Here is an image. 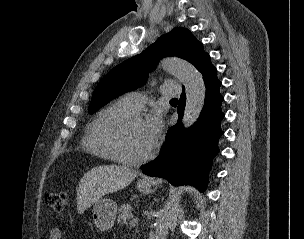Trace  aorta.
Listing matches in <instances>:
<instances>
[{
  "mask_svg": "<svg viewBox=\"0 0 304 239\" xmlns=\"http://www.w3.org/2000/svg\"><path fill=\"white\" fill-rule=\"evenodd\" d=\"M160 67L178 78L186 90V105L183 125L188 128L193 125L204 106L206 87L202 74L190 63L179 58H166L160 62ZM171 212L163 210L155 223L154 239H166Z\"/></svg>",
  "mask_w": 304,
  "mask_h": 239,
  "instance_id": "762f6f07",
  "label": "aorta"
}]
</instances>
